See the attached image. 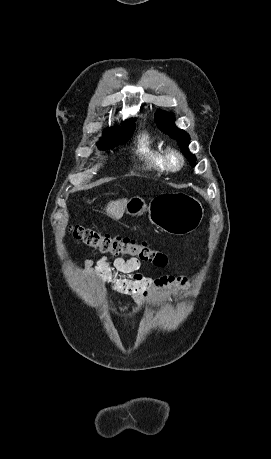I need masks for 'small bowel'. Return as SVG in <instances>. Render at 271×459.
Instances as JSON below:
<instances>
[{"label": "small bowel", "instance_id": "small-bowel-1", "mask_svg": "<svg viewBox=\"0 0 271 459\" xmlns=\"http://www.w3.org/2000/svg\"><path fill=\"white\" fill-rule=\"evenodd\" d=\"M141 266L142 262L137 258H116L115 269L128 275V277H117L113 274L107 258L103 257L97 261L91 259L85 261V272L92 279L100 280L114 291L134 296L137 301L148 294L149 290L176 288L185 284L184 280L168 276L158 279L143 277L135 273Z\"/></svg>", "mask_w": 271, "mask_h": 459}]
</instances>
